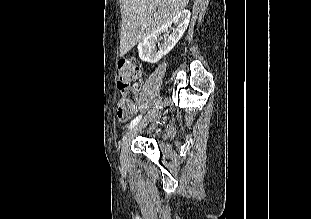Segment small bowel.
Listing matches in <instances>:
<instances>
[{
    "instance_id": "small-bowel-1",
    "label": "small bowel",
    "mask_w": 311,
    "mask_h": 219,
    "mask_svg": "<svg viewBox=\"0 0 311 219\" xmlns=\"http://www.w3.org/2000/svg\"><path fill=\"white\" fill-rule=\"evenodd\" d=\"M136 112H137V107L135 105H133L129 108L127 113H123L121 100L119 101L118 109H117V116H118L119 120L126 121V120L130 119Z\"/></svg>"
}]
</instances>
